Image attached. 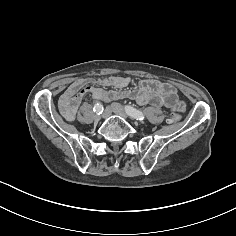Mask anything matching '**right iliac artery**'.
Listing matches in <instances>:
<instances>
[{"label": "right iliac artery", "instance_id": "82829eb1", "mask_svg": "<svg viewBox=\"0 0 236 236\" xmlns=\"http://www.w3.org/2000/svg\"><path fill=\"white\" fill-rule=\"evenodd\" d=\"M94 112L101 114L104 110L103 105L100 102H97L93 108Z\"/></svg>", "mask_w": 236, "mask_h": 236}]
</instances>
